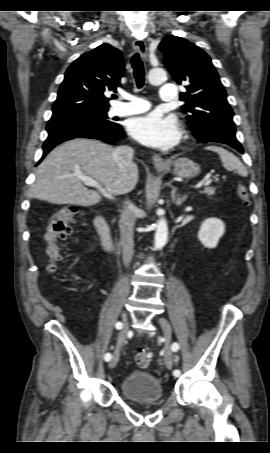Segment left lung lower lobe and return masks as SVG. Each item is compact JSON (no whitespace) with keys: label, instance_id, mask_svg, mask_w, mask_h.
<instances>
[{"label":"left lung lower lobe","instance_id":"left-lung-lower-lobe-1","mask_svg":"<svg viewBox=\"0 0 270 453\" xmlns=\"http://www.w3.org/2000/svg\"><path fill=\"white\" fill-rule=\"evenodd\" d=\"M225 144L233 147L234 149L238 150L240 153H243V148L238 141H230V142H226Z\"/></svg>","mask_w":270,"mask_h":453}]
</instances>
